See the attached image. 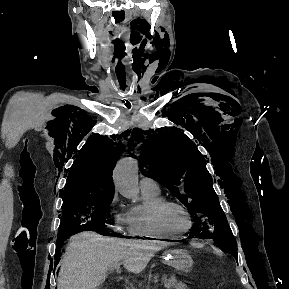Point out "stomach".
<instances>
[{
  "mask_svg": "<svg viewBox=\"0 0 289 289\" xmlns=\"http://www.w3.org/2000/svg\"><path fill=\"white\" fill-rule=\"evenodd\" d=\"M164 261L181 273L190 272L193 266L192 256L184 249H172L167 251Z\"/></svg>",
  "mask_w": 289,
  "mask_h": 289,
  "instance_id": "obj_1",
  "label": "stomach"
}]
</instances>
